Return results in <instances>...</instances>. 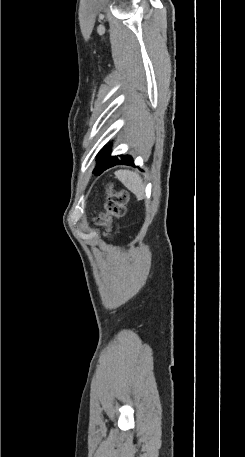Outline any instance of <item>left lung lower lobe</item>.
Masks as SVG:
<instances>
[{"mask_svg": "<svg viewBox=\"0 0 245 457\" xmlns=\"http://www.w3.org/2000/svg\"><path fill=\"white\" fill-rule=\"evenodd\" d=\"M122 159H118L117 156H110V148H106L101 151L98 156V163L94 170L95 175H100L104 170L116 166V165H133V159L129 155H120Z\"/></svg>", "mask_w": 245, "mask_h": 457, "instance_id": "obj_1", "label": "left lung lower lobe"}]
</instances>
